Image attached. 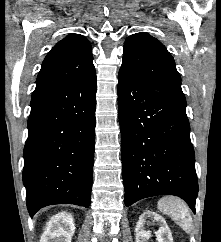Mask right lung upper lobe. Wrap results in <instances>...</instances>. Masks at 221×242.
Returning a JSON list of instances; mask_svg holds the SVG:
<instances>
[{
  "mask_svg": "<svg viewBox=\"0 0 221 242\" xmlns=\"http://www.w3.org/2000/svg\"><path fill=\"white\" fill-rule=\"evenodd\" d=\"M95 72L90 42L69 34L45 57L32 98L70 88Z\"/></svg>",
  "mask_w": 221,
  "mask_h": 242,
  "instance_id": "cb5924a9",
  "label": "right lung upper lobe"
}]
</instances>
